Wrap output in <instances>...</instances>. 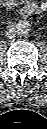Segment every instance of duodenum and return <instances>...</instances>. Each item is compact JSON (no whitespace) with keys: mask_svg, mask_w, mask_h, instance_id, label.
I'll list each match as a JSON object with an SVG mask.
<instances>
[{"mask_svg":"<svg viewBox=\"0 0 47 129\" xmlns=\"http://www.w3.org/2000/svg\"><path fill=\"white\" fill-rule=\"evenodd\" d=\"M41 11L40 7L34 4L25 5L20 9V13L24 16H29L31 14L39 13Z\"/></svg>","mask_w":47,"mask_h":129,"instance_id":"1","label":"duodenum"}]
</instances>
